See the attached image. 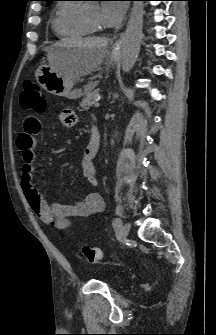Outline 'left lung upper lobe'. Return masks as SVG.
<instances>
[{
	"mask_svg": "<svg viewBox=\"0 0 216 335\" xmlns=\"http://www.w3.org/2000/svg\"><path fill=\"white\" fill-rule=\"evenodd\" d=\"M43 1H54V0H43Z\"/></svg>",
	"mask_w": 216,
	"mask_h": 335,
	"instance_id": "left-lung-upper-lobe-1",
	"label": "left lung upper lobe"
}]
</instances>
